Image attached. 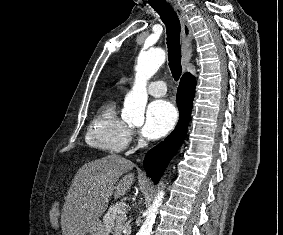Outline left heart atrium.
Segmentation results:
<instances>
[{"instance_id":"1","label":"left heart atrium","mask_w":283,"mask_h":235,"mask_svg":"<svg viewBox=\"0 0 283 235\" xmlns=\"http://www.w3.org/2000/svg\"><path fill=\"white\" fill-rule=\"evenodd\" d=\"M176 119V110L170 102L153 101L147 108L142 133L149 139L160 138L173 128Z\"/></svg>"}]
</instances>
